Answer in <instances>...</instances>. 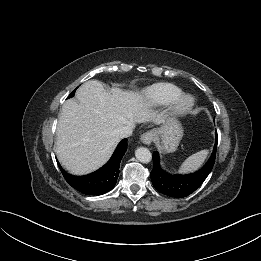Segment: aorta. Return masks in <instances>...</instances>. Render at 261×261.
I'll return each mask as SVG.
<instances>
[{
    "mask_svg": "<svg viewBox=\"0 0 261 261\" xmlns=\"http://www.w3.org/2000/svg\"><path fill=\"white\" fill-rule=\"evenodd\" d=\"M135 156L142 163H149L152 159L151 152L145 147H139L135 151Z\"/></svg>",
    "mask_w": 261,
    "mask_h": 261,
    "instance_id": "762f6f07",
    "label": "aorta"
}]
</instances>
